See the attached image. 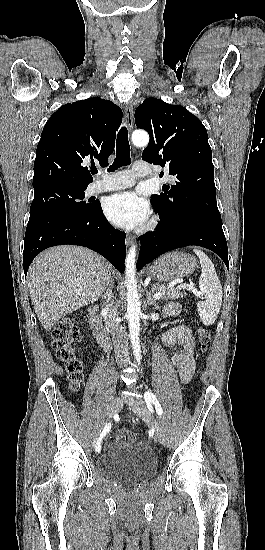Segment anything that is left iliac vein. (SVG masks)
I'll return each instance as SVG.
<instances>
[{"label": "left iliac vein", "mask_w": 265, "mask_h": 550, "mask_svg": "<svg viewBox=\"0 0 265 550\" xmlns=\"http://www.w3.org/2000/svg\"><path fill=\"white\" fill-rule=\"evenodd\" d=\"M132 410L143 421L150 424L154 428V430L156 432V435H157V438L159 439L160 443L165 444L164 438H163L157 424L155 423L150 411L148 410L147 406L145 405V403L143 401H139V402L135 403L132 406Z\"/></svg>", "instance_id": "left-iliac-vein-1"}]
</instances>
